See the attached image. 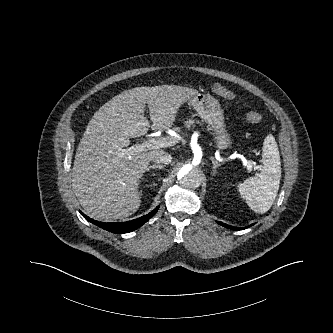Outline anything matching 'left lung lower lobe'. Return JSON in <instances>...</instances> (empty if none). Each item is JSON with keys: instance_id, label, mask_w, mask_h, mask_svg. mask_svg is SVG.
<instances>
[{"instance_id": "obj_1", "label": "left lung lower lobe", "mask_w": 333, "mask_h": 333, "mask_svg": "<svg viewBox=\"0 0 333 333\" xmlns=\"http://www.w3.org/2000/svg\"><path fill=\"white\" fill-rule=\"evenodd\" d=\"M218 224H220V225H222V226H224V227H226V228L234 229V230H241V229H244V228H235V227H232V226H230V225L224 224V223H222V222H218ZM252 225H253V224H252Z\"/></svg>"}]
</instances>
